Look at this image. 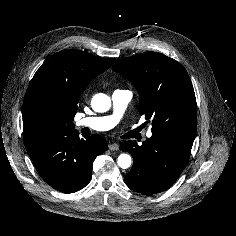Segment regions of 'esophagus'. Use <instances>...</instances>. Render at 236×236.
I'll list each match as a JSON object with an SVG mask.
<instances>
[{"label": "esophagus", "instance_id": "34e87169", "mask_svg": "<svg viewBox=\"0 0 236 236\" xmlns=\"http://www.w3.org/2000/svg\"><path fill=\"white\" fill-rule=\"evenodd\" d=\"M108 147L111 151H117L119 149V145L117 143H110Z\"/></svg>", "mask_w": 236, "mask_h": 236}]
</instances>
